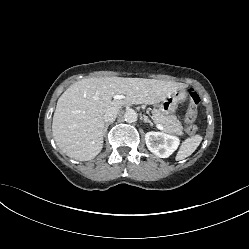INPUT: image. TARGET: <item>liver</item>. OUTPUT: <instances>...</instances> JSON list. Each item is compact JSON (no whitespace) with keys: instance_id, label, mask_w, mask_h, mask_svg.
I'll return each instance as SVG.
<instances>
[{"instance_id":"6515ba94","label":"liver","mask_w":249,"mask_h":249,"mask_svg":"<svg viewBox=\"0 0 249 249\" xmlns=\"http://www.w3.org/2000/svg\"><path fill=\"white\" fill-rule=\"evenodd\" d=\"M182 84L145 78H86L75 82L60 96L53 115L52 133L67 156L88 161L103 147L104 115L110 108L133 104H156ZM125 95L124 99H114Z\"/></svg>"}]
</instances>
